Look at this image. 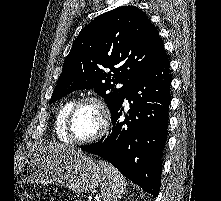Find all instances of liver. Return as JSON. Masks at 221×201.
I'll use <instances>...</instances> for the list:
<instances>
[{"instance_id": "obj_1", "label": "liver", "mask_w": 221, "mask_h": 201, "mask_svg": "<svg viewBox=\"0 0 221 201\" xmlns=\"http://www.w3.org/2000/svg\"><path fill=\"white\" fill-rule=\"evenodd\" d=\"M44 148L50 149V150H53V151H56V152H68V151H73V150L67 148L66 146L60 145V144H57V145H55V146L44 147Z\"/></svg>"}]
</instances>
